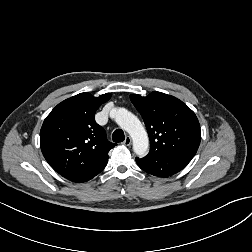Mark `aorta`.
<instances>
[{
    "mask_svg": "<svg viewBox=\"0 0 252 252\" xmlns=\"http://www.w3.org/2000/svg\"><path fill=\"white\" fill-rule=\"evenodd\" d=\"M115 121L131 136L135 154L139 157L145 156L149 146V139L140 120L127 109L118 108L115 110Z\"/></svg>",
    "mask_w": 252,
    "mask_h": 252,
    "instance_id": "aorta-1",
    "label": "aorta"
}]
</instances>
